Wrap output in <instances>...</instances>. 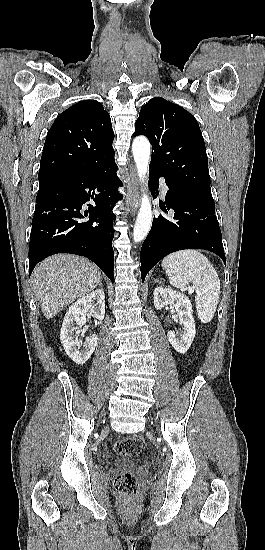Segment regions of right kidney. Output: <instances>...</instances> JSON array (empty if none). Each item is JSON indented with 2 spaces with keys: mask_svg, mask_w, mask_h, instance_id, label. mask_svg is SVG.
Returning a JSON list of instances; mask_svg holds the SVG:
<instances>
[{
  "mask_svg": "<svg viewBox=\"0 0 265 550\" xmlns=\"http://www.w3.org/2000/svg\"><path fill=\"white\" fill-rule=\"evenodd\" d=\"M88 312L96 319H104L105 295L102 289H96L78 299L69 307L63 320L60 340L67 355L78 365L88 361L98 341L95 334L87 337L84 343L78 338V335L84 332ZM75 324L77 327H74ZM82 345L84 349L80 350Z\"/></svg>",
  "mask_w": 265,
  "mask_h": 550,
  "instance_id": "ca27d5eb",
  "label": "right kidney"
}]
</instances>
